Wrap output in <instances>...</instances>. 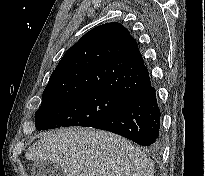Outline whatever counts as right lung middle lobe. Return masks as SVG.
<instances>
[{"instance_id": "dd1d6c3e", "label": "right lung middle lobe", "mask_w": 205, "mask_h": 176, "mask_svg": "<svg viewBox=\"0 0 205 176\" xmlns=\"http://www.w3.org/2000/svg\"><path fill=\"white\" fill-rule=\"evenodd\" d=\"M126 97L92 89L42 97L35 113L38 131L67 127H94L108 118Z\"/></svg>"}]
</instances>
